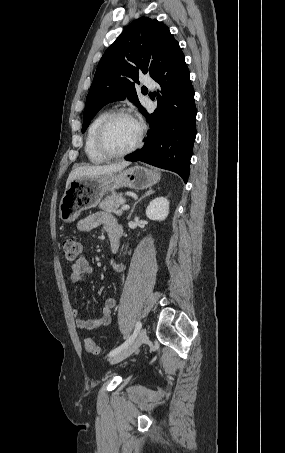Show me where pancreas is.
Masks as SVG:
<instances>
[{"instance_id": "pancreas-1", "label": "pancreas", "mask_w": 285, "mask_h": 453, "mask_svg": "<svg viewBox=\"0 0 285 453\" xmlns=\"http://www.w3.org/2000/svg\"><path fill=\"white\" fill-rule=\"evenodd\" d=\"M124 202L125 200L122 197V194H112L99 203V208L106 212L115 213L117 216H121L123 211L119 210V207Z\"/></svg>"}]
</instances>
